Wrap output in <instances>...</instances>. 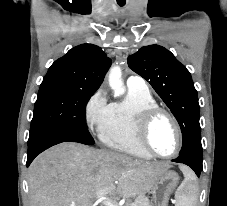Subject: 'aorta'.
Wrapping results in <instances>:
<instances>
[{
    "label": "aorta",
    "mask_w": 227,
    "mask_h": 206,
    "mask_svg": "<svg viewBox=\"0 0 227 206\" xmlns=\"http://www.w3.org/2000/svg\"><path fill=\"white\" fill-rule=\"evenodd\" d=\"M121 75L122 72L118 66L113 67L109 73V85L114 91L115 96H121L125 92Z\"/></svg>",
    "instance_id": "aorta-1"
}]
</instances>
